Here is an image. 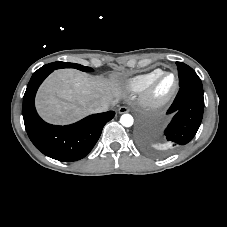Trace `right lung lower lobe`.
I'll return each instance as SVG.
<instances>
[{"instance_id": "1", "label": "right lung lower lobe", "mask_w": 227, "mask_h": 227, "mask_svg": "<svg viewBox=\"0 0 227 227\" xmlns=\"http://www.w3.org/2000/svg\"><path fill=\"white\" fill-rule=\"evenodd\" d=\"M53 70L36 71L23 97V119L32 143L43 154L64 162L84 158L98 141L104 125L115 112L108 111L90 115L81 121L56 126L44 122L36 112L34 99L38 87Z\"/></svg>"}]
</instances>
